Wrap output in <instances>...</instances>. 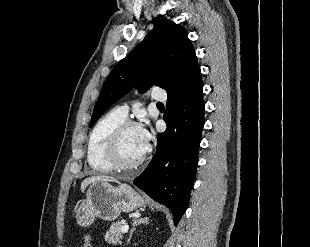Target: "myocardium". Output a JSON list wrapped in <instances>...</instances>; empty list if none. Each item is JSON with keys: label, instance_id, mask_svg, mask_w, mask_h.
Returning <instances> with one entry per match:
<instances>
[{"label": "myocardium", "instance_id": "obj_1", "mask_svg": "<svg viewBox=\"0 0 310 247\" xmlns=\"http://www.w3.org/2000/svg\"><path fill=\"white\" fill-rule=\"evenodd\" d=\"M132 127L141 128L139 123L125 119L123 122H121L116 126V128L112 131V133L108 138L105 149V158L109 163V165L111 166L112 170L116 171L134 170L139 168L147 159L150 150L149 146H147L145 153L137 161L130 164H126L121 160L120 143L122 136L126 130Z\"/></svg>", "mask_w": 310, "mask_h": 247}]
</instances>
